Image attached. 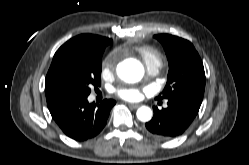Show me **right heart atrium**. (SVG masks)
<instances>
[{
    "label": "right heart atrium",
    "mask_w": 249,
    "mask_h": 165,
    "mask_svg": "<svg viewBox=\"0 0 249 165\" xmlns=\"http://www.w3.org/2000/svg\"><path fill=\"white\" fill-rule=\"evenodd\" d=\"M117 58V53L116 52H112L110 53L106 58L105 60L103 61V64H102V72L103 73H107L109 72L114 63H115V60Z\"/></svg>",
    "instance_id": "d8ad5b80"
}]
</instances>
